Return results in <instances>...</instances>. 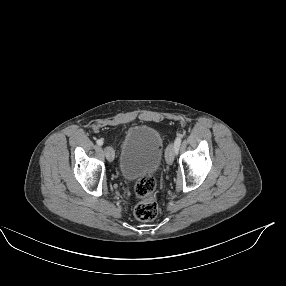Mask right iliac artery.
I'll list each match as a JSON object with an SVG mask.
<instances>
[{
  "instance_id": "obj_1",
  "label": "right iliac artery",
  "mask_w": 286,
  "mask_h": 286,
  "mask_svg": "<svg viewBox=\"0 0 286 286\" xmlns=\"http://www.w3.org/2000/svg\"><path fill=\"white\" fill-rule=\"evenodd\" d=\"M103 140L102 139H99V140H97V144L99 145V146H102L103 145Z\"/></svg>"
}]
</instances>
